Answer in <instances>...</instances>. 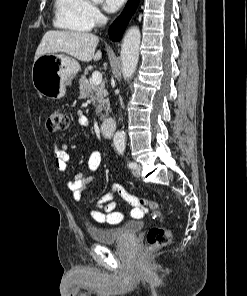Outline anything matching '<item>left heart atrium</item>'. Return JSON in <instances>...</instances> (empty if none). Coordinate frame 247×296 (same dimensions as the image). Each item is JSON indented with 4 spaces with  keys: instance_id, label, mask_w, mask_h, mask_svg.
Returning a JSON list of instances; mask_svg holds the SVG:
<instances>
[{
    "instance_id": "39dd6f15",
    "label": "left heart atrium",
    "mask_w": 247,
    "mask_h": 296,
    "mask_svg": "<svg viewBox=\"0 0 247 296\" xmlns=\"http://www.w3.org/2000/svg\"><path fill=\"white\" fill-rule=\"evenodd\" d=\"M125 0H104V8L108 12H115L118 10Z\"/></svg>"
}]
</instances>
